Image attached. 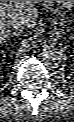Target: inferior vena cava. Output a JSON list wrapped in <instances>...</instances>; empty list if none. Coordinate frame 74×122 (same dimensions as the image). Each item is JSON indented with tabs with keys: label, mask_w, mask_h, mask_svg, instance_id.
I'll return each instance as SVG.
<instances>
[{
	"label": "inferior vena cava",
	"mask_w": 74,
	"mask_h": 122,
	"mask_svg": "<svg viewBox=\"0 0 74 122\" xmlns=\"http://www.w3.org/2000/svg\"><path fill=\"white\" fill-rule=\"evenodd\" d=\"M10 25L18 32H22L28 27V21L23 16H14L10 21Z\"/></svg>",
	"instance_id": "inferior-vena-cava-1"
}]
</instances>
